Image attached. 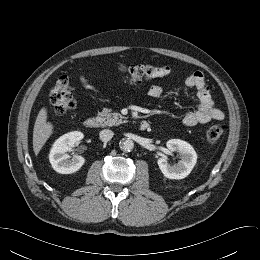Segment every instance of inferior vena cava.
Wrapping results in <instances>:
<instances>
[{
	"label": "inferior vena cava",
	"instance_id": "obj_1",
	"mask_svg": "<svg viewBox=\"0 0 260 260\" xmlns=\"http://www.w3.org/2000/svg\"><path fill=\"white\" fill-rule=\"evenodd\" d=\"M113 135H114L113 131L109 129H104L100 131L99 137L103 142H108L109 140L112 139Z\"/></svg>",
	"mask_w": 260,
	"mask_h": 260
}]
</instances>
